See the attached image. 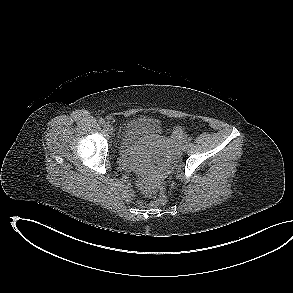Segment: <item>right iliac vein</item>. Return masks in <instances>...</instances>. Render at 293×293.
I'll use <instances>...</instances> for the list:
<instances>
[{
	"label": "right iliac vein",
	"instance_id": "right-iliac-vein-1",
	"mask_svg": "<svg viewBox=\"0 0 293 293\" xmlns=\"http://www.w3.org/2000/svg\"><path fill=\"white\" fill-rule=\"evenodd\" d=\"M104 127L109 133H113V127L110 124L107 123Z\"/></svg>",
	"mask_w": 293,
	"mask_h": 293
}]
</instances>
